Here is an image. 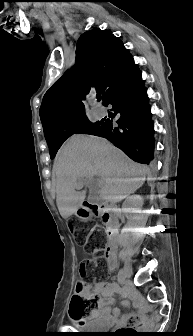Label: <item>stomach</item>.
Listing matches in <instances>:
<instances>
[{
    "label": "stomach",
    "mask_w": 193,
    "mask_h": 336,
    "mask_svg": "<svg viewBox=\"0 0 193 336\" xmlns=\"http://www.w3.org/2000/svg\"><path fill=\"white\" fill-rule=\"evenodd\" d=\"M76 217H78L82 221H87L91 218L92 213L91 211L86 207H79L75 212Z\"/></svg>",
    "instance_id": "0dacf381"
}]
</instances>
